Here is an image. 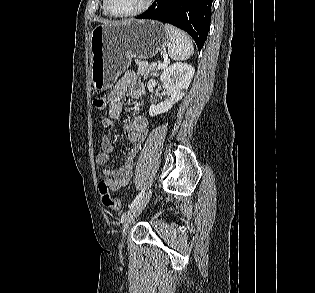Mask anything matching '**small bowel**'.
<instances>
[{"label":"small bowel","mask_w":315,"mask_h":293,"mask_svg":"<svg viewBox=\"0 0 315 293\" xmlns=\"http://www.w3.org/2000/svg\"><path fill=\"white\" fill-rule=\"evenodd\" d=\"M127 94L132 98L134 107L137 108L144 94V86L137 80L136 74L132 71L126 72L108 95V116L102 120L105 132L112 130L115 122L120 118L123 108L122 102ZM123 131L133 146L130 151L123 154L124 162L119 168H105L103 170L105 183L111 191L120 190L131 178L135 158L148 134L147 118L142 114H135L132 120L124 125ZM112 152L113 143L107 135H104L101 140V151L96 156V163L101 166L106 165Z\"/></svg>","instance_id":"obj_1"}]
</instances>
